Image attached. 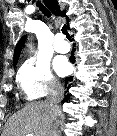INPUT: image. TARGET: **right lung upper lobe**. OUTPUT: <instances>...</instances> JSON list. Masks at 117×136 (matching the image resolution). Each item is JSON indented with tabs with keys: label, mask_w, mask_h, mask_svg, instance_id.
Returning <instances> with one entry per match:
<instances>
[{
	"label": "right lung upper lobe",
	"mask_w": 117,
	"mask_h": 136,
	"mask_svg": "<svg viewBox=\"0 0 117 136\" xmlns=\"http://www.w3.org/2000/svg\"><path fill=\"white\" fill-rule=\"evenodd\" d=\"M45 5L47 6V8L55 15V16H63V17H66L67 16L65 15V11H61L60 10V6L58 5L57 1L56 0H43ZM68 20V19H67ZM68 24V22H67ZM24 41H25V36H23L20 41L18 42V44L16 45V48H15V52H14V65L17 64V61H18V58H19V55H20V51L22 49V46L24 44Z\"/></svg>",
	"instance_id": "1"
}]
</instances>
